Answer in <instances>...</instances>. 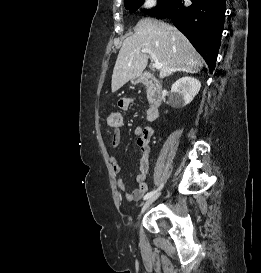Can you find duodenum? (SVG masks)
Segmentation results:
<instances>
[{
  "label": "duodenum",
  "mask_w": 261,
  "mask_h": 273,
  "mask_svg": "<svg viewBox=\"0 0 261 273\" xmlns=\"http://www.w3.org/2000/svg\"><path fill=\"white\" fill-rule=\"evenodd\" d=\"M139 82L147 86L150 93V108L152 111H157L162 102L163 89L161 83L149 72L143 73Z\"/></svg>",
  "instance_id": "duodenum-1"
}]
</instances>
